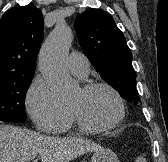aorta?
<instances>
[{
    "mask_svg": "<svg viewBox=\"0 0 168 162\" xmlns=\"http://www.w3.org/2000/svg\"><path fill=\"white\" fill-rule=\"evenodd\" d=\"M72 38V30L66 23L58 22L39 53L41 73L60 100L73 98L77 89L65 65Z\"/></svg>",
    "mask_w": 168,
    "mask_h": 162,
    "instance_id": "1",
    "label": "aorta"
}]
</instances>
